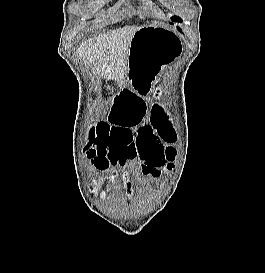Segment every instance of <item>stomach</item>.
<instances>
[{
  "instance_id": "1",
  "label": "stomach",
  "mask_w": 265,
  "mask_h": 273,
  "mask_svg": "<svg viewBox=\"0 0 265 273\" xmlns=\"http://www.w3.org/2000/svg\"><path fill=\"white\" fill-rule=\"evenodd\" d=\"M180 50L181 42L172 32L154 25L138 27L129 48L128 89L135 90V95H146L145 89Z\"/></svg>"
}]
</instances>
